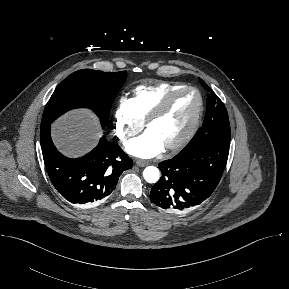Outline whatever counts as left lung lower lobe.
<instances>
[{"label": "left lung lower lobe", "instance_id": "1", "mask_svg": "<svg viewBox=\"0 0 289 289\" xmlns=\"http://www.w3.org/2000/svg\"><path fill=\"white\" fill-rule=\"evenodd\" d=\"M228 154L229 144L205 143L159 163L162 176L151 189V201L173 213L201 204L218 185Z\"/></svg>", "mask_w": 289, "mask_h": 289}]
</instances>
